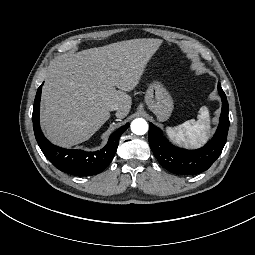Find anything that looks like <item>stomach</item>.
I'll use <instances>...</instances> for the list:
<instances>
[{
  "label": "stomach",
  "instance_id": "1",
  "mask_svg": "<svg viewBox=\"0 0 255 255\" xmlns=\"http://www.w3.org/2000/svg\"><path fill=\"white\" fill-rule=\"evenodd\" d=\"M145 103L159 121H166L174 108L173 98L169 91L157 80L148 85Z\"/></svg>",
  "mask_w": 255,
  "mask_h": 255
}]
</instances>
